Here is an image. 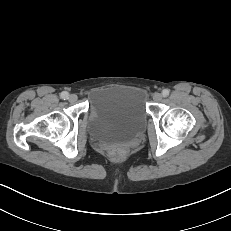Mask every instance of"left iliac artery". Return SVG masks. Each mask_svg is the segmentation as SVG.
Returning <instances> with one entry per match:
<instances>
[{
  "mask_svg": "<svg viewBox=\"0 0 231 231\" xmlns=\"http://www.w3.org/2000/svg\"><path fill=\"white\" fill-rule=\"evenodd\" d=\"M169 93H170L169 89H163V91H162V95L164 97H167L169 95Z\"/></svg>",
  "mask_w": 231,
  "mask_h": 231,
  "instance_id": "left-iliac-artery-1",
  "label": "left iliac artery"
}]
</instances>
